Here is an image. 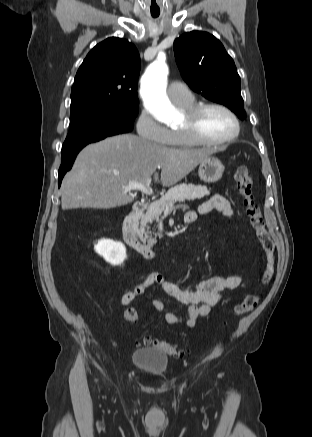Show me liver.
<instances>
[{
    "label": "liver",
    "mask_w": 312,
    "mask_h": 437,
    "mask_svg": "<svg viewBox=\"0 0 312 437\" xmlns=\"http://www.w3.org/2000/svg\"><path fill=\"white\" fill-rule=\"evenodd\" d=\"M215 149H178L123 134L89 144L78 154L61 185L64 210L109 209L131 203L136 196L124 187L129 181L172 186L188 175ZM161 168V174L157 173Z\"/></svg>",
    "instance_id": "liver-1"
}]
</instances>
